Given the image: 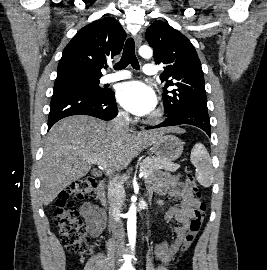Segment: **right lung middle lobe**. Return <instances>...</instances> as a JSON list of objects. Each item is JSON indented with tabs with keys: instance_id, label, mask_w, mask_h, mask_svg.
Returning a JSON list of instances; mask_svg holds the SVG:
<instances>
[{
	"instance_id": "dd1d6c3e",
	"label": "right lung middle lobe",
	"mask_w": 267,
	"mask_h": 270,
	"mask_svg": "<svg viewBox=\"0 0 267 270\" xmlns=\"http://www.w3.org/2000/svg\"><path fill=\"white\" fill-rule=\"evenodd\" d=\"M58 91H76L103 95L110 90L99 86V77L63 75L55 80L54 92Z\"/></svg>"
}]
</instances>
